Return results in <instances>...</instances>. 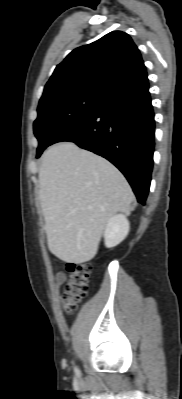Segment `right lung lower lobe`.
Instances as JSON below:
<instances>
[{
    "mask_svg": "<svg viewBox=\"0 0 182 399\" xmlns=\"http://www.w3.org/2000/svg\"><path fill=\"white\" fill-rule=\"evenodd\" d=\"M154 131L146 81L110 93L96 111L58 132L51 144L74 142L108 159L124 174L138 202L144 205L153 167Z\"/></svg>",
    "mask_w": 182,
    "mask_h": 399,
    "instance_id": "obj_1",
    "label": "right lung lower lobe"
}]
</instances>
